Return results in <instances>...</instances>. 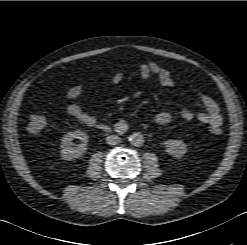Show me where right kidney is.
I'll return each instance as SVG.
<instances>
[{
    "instance_id": "obj_1",
    "label": "right kidney",
    "mask_w": 247,
    "mask_h": 245,
    "mask_svg": "<svg viewBox=\"0 0 247 245\" xmlns=\"http://www.w3.org/2000/svg\"><path fill=\"white\" fill-rule=\"evenodd\" d=\"M74 139H79L80 144L75 145ZM88 135L81 130L71 131L65 134L60 145L61 156L65 160L82 157L87 151Z\"/></svg>"
}]
</instances>
